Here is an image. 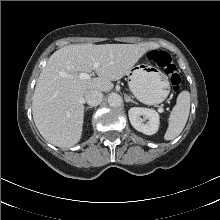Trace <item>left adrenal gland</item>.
<instances>
[{
  "mask_svg": "<svg viewBox=\"0 0 220 220\" xmlns=\"http://www.w3.org/2000/svg\"><path fill=\"white\" fill-rule=\"evenodd\" d=\"M125 101H126V102H132V103L138 104L136 101H134L133 99H131V97L128 96V95H125Z\"/></svg>",
  "mask_w": 220,
  "mask_h": 220,
  "instance_id": "1",
  "label": "left adrenal gland"
}]
</instances>
